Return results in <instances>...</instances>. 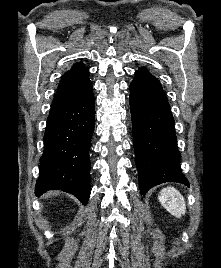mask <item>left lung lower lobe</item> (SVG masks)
Wrapping results in <instances>:
<instances>
[{
  "mask_svg": "<svg viewBox=\"0 0 221 268\" xmlns=\"http://www.w3.org/2000/svg\"><path fill=\"white\" fill-rule=\"evenodd\" d=\"M129 103L141 194L164 182L188 186L179 165L174 119L161 84L135 77Z\"/></svg>",
  "mask_w": 221,
  "mask_h": 268,
  "instance_id": "obj_1",
  "label": "left lung lower lobe"
}]
</instances>
